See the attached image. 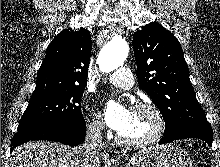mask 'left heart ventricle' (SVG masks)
<instances>
[{"instance_id": "1", "label": "left heart ventricle", "mask_w": 220, "mask_h": 167, "mask_svg": "<svg viewBox=\"0 0 220 167\" xmlns=\"http://www.w3.org/2000/svg\"><path fill=\"white\" fill-rule=\"evenodd\" d=\"M155 127L156 121L150 112L133 109L128 125L119 133L128 140H141L149 137Z\"/></svg>"}]
</instances>
